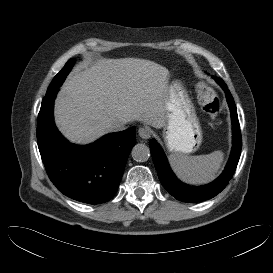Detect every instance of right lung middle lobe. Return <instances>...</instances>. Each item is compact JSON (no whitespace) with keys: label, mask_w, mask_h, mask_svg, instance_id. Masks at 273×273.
I'll return each instance as SVG.
<instances>
[{"label":"right lung middle lobe","mask_w":273,"mask_h":273,"mask_svg":"<svg viewBox=\"0 0 273 273\" xmlns=\"http://www.w3.org/2000/svg\"><path fill=\"white\" fill-rule=\"evenodd\" d=\"M74 62H75V59H70L65 64V66L62 68V70L52 80L51 84L49 85V87L47 89L46 95L51 94L52 92H54L56 89H58L62 85L66 76L68 75V73L72 69Z\"/></svg>","instance_id":"1"}]
</instances>
